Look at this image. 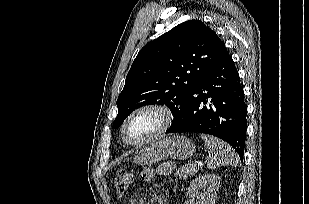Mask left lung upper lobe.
Segmentation results:
<instances>
[{
  "instance_id": "5c2ea615",
  "label": "left lung upper lobe",
  "mask_w": 309,
  "mask_h": 204,
  "mask_svg": "<svg viewBox=\"0 0 309 204\" xmlns=\"http://www.w3.org/2000/svg\"><path fill=\"white\" fill-rule=\"evenodd\" d=\"M225 44L202 21L183 22L138 53L117 99L118 128L135 109L165 104L175 116L201 77L223 57Z\"/></svg>"
}]
</instances>
